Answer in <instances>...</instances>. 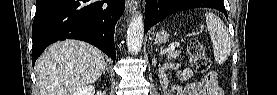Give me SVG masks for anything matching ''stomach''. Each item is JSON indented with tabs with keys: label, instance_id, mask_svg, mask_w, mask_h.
<instances>
[{
	"label": "stomach",
	"instance_id": "0dacf381",
	"mask_svg": "<svg viewBox=\"0 0 277 95\" xmlns=\"http://www.w3.org/2000/svg\"><path fill=\"white\" fill-rule=\"evenodd\" d=\"M169 38V34L166 31H160L155 33L154 42L156 44L165 43Z\"/></svg>",
	"mask_w": 277,
	"mask_h": 95
}]
</instances>
